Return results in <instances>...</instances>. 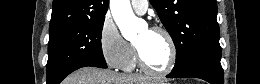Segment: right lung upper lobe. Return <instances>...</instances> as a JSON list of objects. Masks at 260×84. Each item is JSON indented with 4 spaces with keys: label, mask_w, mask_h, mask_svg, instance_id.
<instances>
[{
    "label": "right lung upper lobe",
    "mask_w": 260,
    "mask_h": 84,
    "mask_svg": "<svg viewBox=\"0 0 260 84\" xmlns=\"http://www.w3.org/2000/svg\"><path fill=\"white\" fill-rule=\"evenodd\" d=\"M109 0H53L49 31L86 19L105 17Z\"/></svg>",
    "instance_id": "obj_1"
}]
</instances>
